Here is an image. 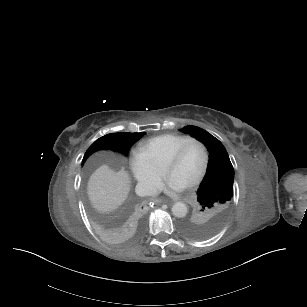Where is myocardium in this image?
<instances>
[{"instance_id":"1","label":"myocardium","mask_w":307,"mask_h":307,"mask_svg":"<svg viewBox=\"0 0 307 307\" xmlns=\"http://www.w3.org/2000/svg\"><path fill=\"white\" fill-rule=\"evenodd\" d=\"M194 142L201 144V146L203 147L204 164H203L201 171L197 174V176L187 184L188 188H192L196 186L197 184H199L207 174V171L209 169V163H210V156H209V150H208L207 144L199 138H190L186 140L184 143H182V145H180V147L173 154L168 156L163 163L164 172L167 173L168 167L171 164L179 161L181 157L183 156L184 152L186 151L187 147L191 143H194Z\"/></svg>"}]
</instances>
